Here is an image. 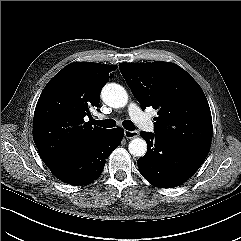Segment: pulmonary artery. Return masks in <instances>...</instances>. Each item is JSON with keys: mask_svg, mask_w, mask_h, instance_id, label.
I'll list each match as a JSON object with an SVG mask.
<instances>
[{"mask_svg": "<svg viewBox=\"0 0 241 241\" xmlns=\"http://www.w3.org/2000/svg\"><path fill=\"white\" fill-rule=\"evenodd\" d=\"M128 112L132 120L143 130L153 131L154 125L152 121L141 111L135 103H130Z\"/></svg>", "mask_w": 241, "mask_h": 241, "instance_id": "obj_1", "label": "pulmonary artery"}]
</instances>
